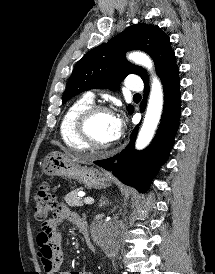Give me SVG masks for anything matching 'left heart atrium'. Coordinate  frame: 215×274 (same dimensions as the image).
<instances>
[{
	"label": "left heart atrium",
	"mask_w": 215,
	"mask_h": 274,
	"mask_svg": "<svg viewBox=\"0 0 215 274\" xmlns=\"http://www.w3.org/2000/svg\"><path fill=\"white\" fill-rule=\"evenodd\" d=\"M113 125L116 132V138L119 137L124 125V119L121 115L113 116Z\"/></svg>",
	"instance_id": "left-heart-atrium-1"
}]
</instances>
